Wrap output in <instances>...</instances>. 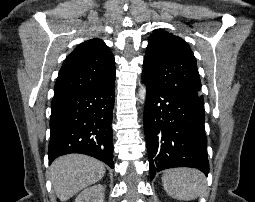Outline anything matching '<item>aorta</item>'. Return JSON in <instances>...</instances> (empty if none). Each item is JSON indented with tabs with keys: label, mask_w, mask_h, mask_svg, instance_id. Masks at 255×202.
I'll list each match as a JSON object with an SVG mask.
<instances>
[{
	"label": "aorta",
	"mask_w": 255,
	"mask_h": 202,
	"mask_svg": "<svg viewBox=\"0 0 255 202\" xmlns=\"http://www.w3.org/2000/svg\"><path fill=\"white\" fill-rule=\"evenodd\" d=\"M139 97L141 99V102L144 103L145 98H146V87L145 86H141L139 89Z\"/></svg>",
	"instance_id": "1"
}]
</instances>
